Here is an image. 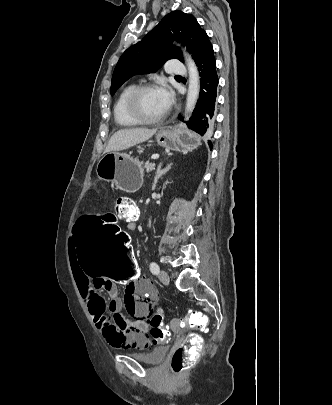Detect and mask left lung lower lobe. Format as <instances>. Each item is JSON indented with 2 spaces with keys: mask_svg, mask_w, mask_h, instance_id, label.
<instances>
[{
  "mask_svg": "<svg viewBox=\"0 0 332 405\" xmlns=\"http://www.w3.org/2000/svg\"><path fill=\"white\" fill-rule=\"evenodd\" d=\"M200 71V94L197 105L187 125L201 136L209 135L216 115L218 76L212 45H208L195 61ZM181 119V116H179ZM211 146V142L209 141Z\"/></svg>",
  "mask_w": 332,
  "mask_h": 405,
  "instance_id": "left-lung-lower-lobe-1",
  "label": "left lung lower lobe"
}]
</instances>
